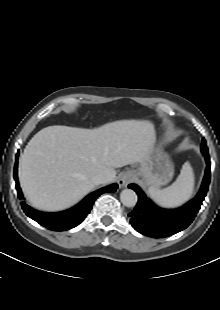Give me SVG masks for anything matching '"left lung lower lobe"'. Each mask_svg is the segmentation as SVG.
Here are the masks:
<instances>
[{
  "label": "left lung lower lobe",
  "mask_w": 220,
  "mask_h": 310,
  "mask_svg": "<svg viewBox=\"0 0 220 310\" xmlns=\"http://www.w3.org/2000/svg\"><path fill=\"white\" fill-rule=\"evenodd\" d=\"M206 160V171L202 185L196 197L176 209H162L156 206L135 184L129 188L138 194V203L129 214L133 228L148 237L162 238L176 234L187 228L194 220L209 188L211 172L208 151L203 153Z\"/></svg>",
  "instance_id": "obj_1"
}]
</instances>
